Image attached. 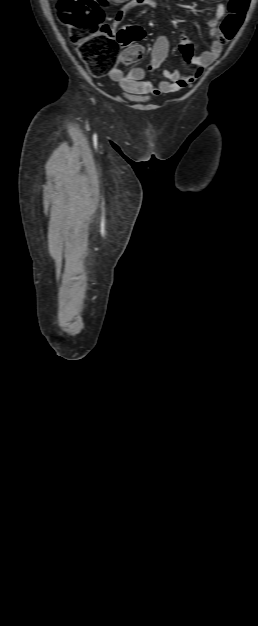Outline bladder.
Wrapping results in <instances>:
<instances>
[{"label":"bladder","mask_w":258,"mask_h":626,"mask_svg":"<svg viewBox=\"0 0 258 626\" xmlns=\"http://www.w3.org/2000/svg\"><path fill=\"white\" fill-rule=\"evenodd\" d=\"M130 98L138 102H146L149 100V97H146V96H136V97H130Z\"/></svg>","instance_id":"31cf9c89"}]
</instances>
